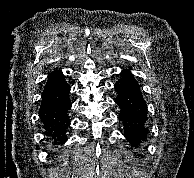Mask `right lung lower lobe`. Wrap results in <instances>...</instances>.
<instances>
[{
    "instance_id": "98d812e1",
    "label": "right lung lower lobe",
    "mask_w": 194,
    "mask_h": 178,
    "mask_svg": "<svg viewBox=\"0 0 194 178\" xmlns=\"http://www.w3.org/2000/svg\"><path fill=\"white\" fill-rule=\"evenodd\" d=\"M70 87L62 73L49 75L42 93L39 117L44 123L45 134L52 138L54 144L66 141V131L70 124L68 111L71 108L69 99Z\"/></svg>"
}]
</instances>
